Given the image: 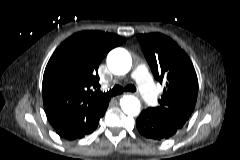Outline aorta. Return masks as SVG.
Wrapping results in <instances>:
<instances>
[{
	"label": "aorta",
	"mask_w": 240,
	"mask_h": 160,
	"mask_svg": "<svg viewBox=\"0 0 240 160\" xmlns=\"http://www.w3.org/2000/svg\"><path fill=\"white\" fill-rule=\"evenodd\" d=\"M107 66L115 75L127 74L132 66L129 52L123 48H115L107 56ZM123 112L129 116H137L140 113V101L132 95L123 96L120 100Z\"/></svg>",
	"instance_id": "1"
}]
</instances>
